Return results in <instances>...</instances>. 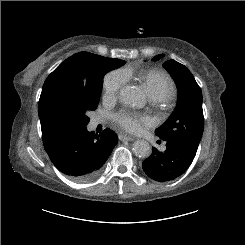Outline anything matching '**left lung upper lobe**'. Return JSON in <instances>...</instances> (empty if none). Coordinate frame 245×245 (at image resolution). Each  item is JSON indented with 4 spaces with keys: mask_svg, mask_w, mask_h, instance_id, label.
Listing matches in <instances>:
<instances>
[{
    "mask_svg": "<svg viewBox=\"0 0 245 245\" xmlns=\"http://www.w3.org/2000/svg\"><path fill=\"white\" fill-rule=\"evenodd\" d=\"M161 56H155L154 60ZM164 66L177 83L179 98L172 115L156 129V135L164 141H181L198 149L204 129L201 89L184 65L168 60Z\"/></svg>",
    "mask_w": 245,
    "mask_h": 245,
    "instance_id": "1",
    "label": "left lung upper lobe"
}]
</instances>
